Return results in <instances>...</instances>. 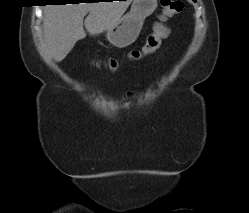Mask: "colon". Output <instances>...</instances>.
<instances>
[{"label": "colon", "instance_id": "obj_1", "mask_svg": "<svg viewBox=\"0 0 249 213\" xmlns=\"http://www.w3.org/2000/svg\"><path fill=\"white\" fill-rule=\"evenodd\" d=\"M160 2L162 13L154 24L153 31L148 35L141 50H134L129 54L130 59L138 60L154 53L160 47L162 40L168 35V21L180 14L184 8L182 0H161ZM106 66L114 71L119 67V62L116 59H109Z\"/></svg>", "mask_w": 249, "mask_h": 213}]
</instances>
